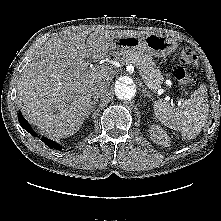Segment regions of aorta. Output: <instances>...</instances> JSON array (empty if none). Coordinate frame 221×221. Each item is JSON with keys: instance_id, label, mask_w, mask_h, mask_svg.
<instances>
[{"instance_id": "aorta-1", "label": "aorta", "mask_w": 221, "mask_h": 221, "mask_svg": "<svg viewBox=\"0 0 221 221\" xmlns=\"http://www.w3.org/2000/svg\"><path fill=\"white\" fill-rule=\"evenodd\" d=\"M114 92L118 99L129 100L136 94V87L123 81H116L114 84Z\"/></svg>"}]
</instances>
